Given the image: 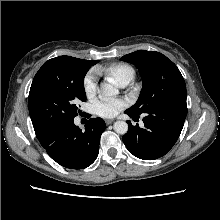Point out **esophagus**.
<instances>
[{
	"mask_svg": "<svg viewBox=\"0 0 220 220\" xmlns=\"http://www.w3.org/2000/svg\"><path fill=\"white\" fill-rule=\"evenodd\" d=\"M113 122H114V120H112V119H106L105 120L106 125H109V124H111Z\"/></svg>",
	"mask_w": 220,
	"mask_h": 220,
	"instance_id": "obj_1",
	"label": "esophagus"
}]
</instances>
